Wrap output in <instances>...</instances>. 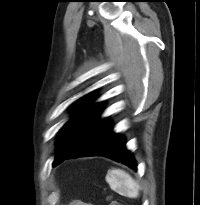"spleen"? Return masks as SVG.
Here are the masks:
<instances>
[{
	"label": "spleen",
	"mask_w": 200,
	"mask_h": 205,
	"mask_svg": "<svg viewBox=\"0 0 200 205\" xmlns=\"http://www.w3.org/2000/svg\"><path fill=\"white\" fill-rule=\"evenodd\" d=\"M106 182L110 188L122 196L136 198L140 187L135 180L124 170L112 168L106 175Z\"/></svg>",
	"instance_id": "1"
}]
</instances>
